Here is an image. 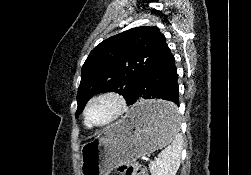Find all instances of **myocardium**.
Here are the masks:
<instances>
[{
  "label": "myocardium",
  "instance_id": "1",
  "mask_svg": "<svg viewBox=\"0 0 251 175\" xmlns=\"http://www.w3.org/2000/svg\"><path fill=\"white\" fill-rule=\"evenodd\" d=\"M104 97H111V98L115 99L120 105V112H119L118 116L112 122H110L106 125L96 126V125H93L89 122V119H88L89 107L93 101L100 99V98H104ZM129 112H130V103H129L126 95L123 92H121L120 90L108 89V90H103V91L93 95L87 101V103L84 107V110H83V120H84L85 126L91 130H104V129L111 128V127L115 126L116 124L120 123L121 121H123L127 117V115L129 114Z\"/></svg>",
  "mask_w": 251,
  "mask_h": 175
}]
</instances>
